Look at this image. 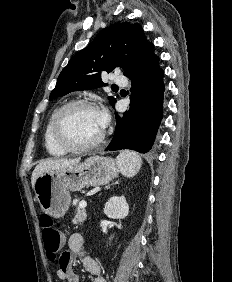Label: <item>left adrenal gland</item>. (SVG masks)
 Masks as SVG:
<instances>
[{"instance_id":"left-adrenal-gland-1","label":"left adrenal gland","mask_w":232,"mask_h":282,"mask_svg":"<svg viewBox=\"0 0 232 282\" xmlns=\"http://www.w3.org/2000/svg\"><path fill=\"white\" fill-rule=\"evenodd\" d=\"M119 182L117 181V182H115L114 184H112V185H115V184H118ZM110 188V185L106 188V189H109Z\"/></svg>"}]
</instances>
